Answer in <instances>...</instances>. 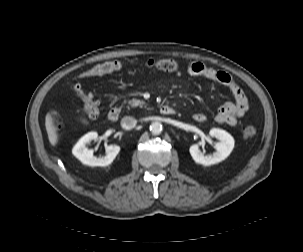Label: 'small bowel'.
<instances>
[{
	"label": "small bowel",
	"instance_id": "c3829d8e",
	"mask_svg": "<svg viewBox=\"0 0 303 252\" xmlns=\"http://www.w3.org/2000/svg\"><path fill=\"white\" fill-rule=\"evenodd\" d=\"M186 72L191 76H200L212 82L224 85L230 90L235 98V102H228L221 105L218 108L214 119L219 123L236 125L239 118L246 113V100L241 87L227 74L218 72L200 62L188 65ZM193 119L196 122H204L206 120V115L197 112L193 115Z\"/></svg>",
	"mask_w": 303,
	"mask_h": 252
}]
</instances>
